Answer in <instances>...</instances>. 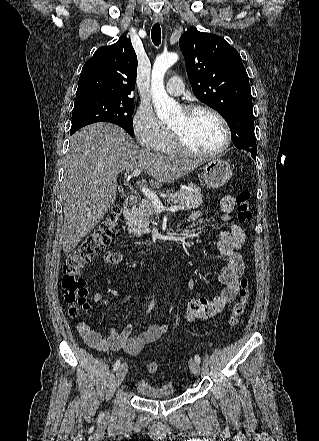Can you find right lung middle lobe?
<instances>
[{
    "label": "right lung middle lobe",
    "mask_w": 319,
    "mask_h": 441,
    "mask_svg": "<svg viewBox=\"0 0 319 441\" xmlns=\"http://www.w3.org/2000/svg\"><path fill=\"white\" fill-rule=\"evenodd\" d=\"M133 112L134 102L132 99L108 97L76 99L72 111L70 132H75L91 123L104 121L119 125L133 136Z\"/></svg>",
    "instance_id": "1"
}]
</instances>
